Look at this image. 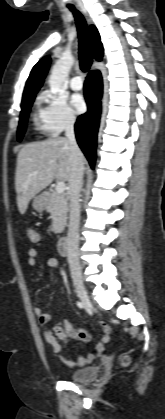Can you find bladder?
<instances>
[{
	"mask_svg": "<svg viewBox=\"0 0 165 419\" xmlns=\"http://www.w3.org/2000/svg\"><path fill=\"white\" fill-rule=\"evenodd\" d=\"M99 375L98 366H87L75 371H72L68 374V379L73 382H87L94 380Z\"/></svg>",
	"mask_w": 165,
	"mask_h": 419,
	"instance_id": "1",
	"label": "bladder"
}]
</instances>
